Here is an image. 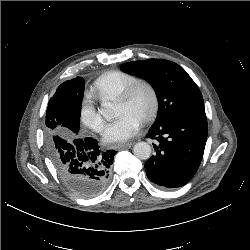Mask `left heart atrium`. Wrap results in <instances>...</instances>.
Returning <instances> with one entry per match:
<instances>
[{
  "mask_svg": "<svg viewBox=\"0 0 250 250\" xmlns=\"http://www.w3.org/2000/svg\"><path fill=\"white\" fill-rule=\"evenodd\" d=\"M140 123L137 116L124 113L107 125L103 133V141L105 143L125 141L138 132Z\"/></svg>",
  "mask_w": 250,
  "mask_h": 250,
  "instance_id": "left-heart-atrium-1",
  "label": "left heart atrium"
}]
</instances>
